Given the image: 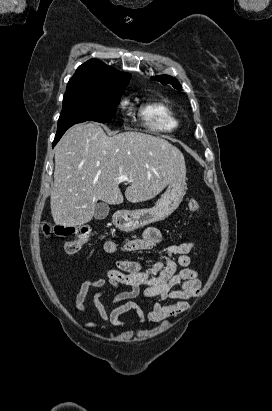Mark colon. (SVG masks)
<instances>
[{
  "label": "colon",
  "mask_w": 272,
  "mask_h": 411,
  "mask_svg": "<svg viewBox=\"0 0 272 411\" xmlns=\"http://www.w3.org/2000/svg\"><path fill=\"white\" fill-rule=\"evenodd\" d=\"M199 203L195 199H190L186 209L188 213L195 214L199 211ZM42 231L48 235L52 233L57 237L66 238L64 250L66 254L73 255L77 253L91 236V228L88 225H57L51 228L48 225H43Z\"/></svg>",
  "instance_id": "1"
}]
</instances>
